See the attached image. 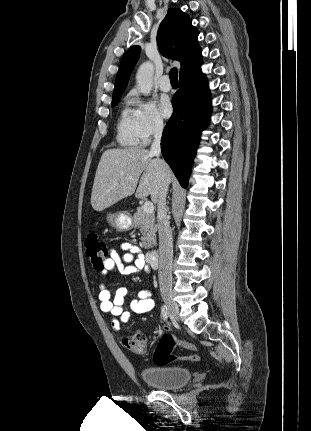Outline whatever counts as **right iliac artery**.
<instances>
[{"label":"right iliac artery","mask_w":311,"mask_h":431,"mask_svg":"<svg viewBox=\"0 0 311 431\" xmlns=\"http://www.w3.org/2000/svg\"><path fill=\"white\" fill-rule=\"evenodd\" d=\"M161 314H162V318H163V320L167 321V319H168V317H169V310H168V308H167V306H166V305H163V306H162Z\"/></svg>","instance_id":"right-iliac-artery-1"}]
</instances>
